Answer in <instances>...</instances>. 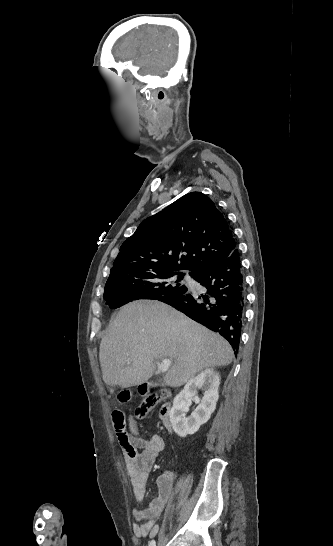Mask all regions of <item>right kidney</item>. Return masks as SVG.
Listing matches in <instances>:
<instances>
[{
  "label": "right kidney",
  "instance_id": "obj_1",
  "mask_svg": "<svg viewBox=\"0 0 333 546\" xmlns=\"http://www.w3.org/2000/svg\"><path fill=\"white\" fill-rule=\"evenodd\" d=\"M219 384V373L212 368H208L189 380L184 389L174 398L173 407L170 411V422L177 435L181 437L192 435L210 419L219 397ZM199 388L204 390L201 404L188 418H185V413L188 412L192 404V397L197 394Z\"/></svg>",
  "mask_w": 333,
  "mask_h": 546
}]
</instances>
